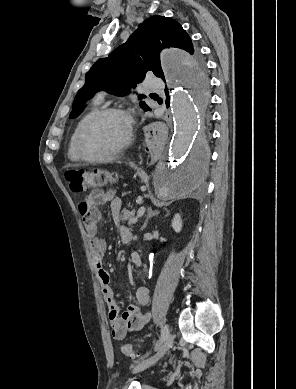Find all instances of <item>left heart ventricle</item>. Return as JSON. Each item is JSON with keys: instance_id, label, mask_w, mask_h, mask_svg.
<instances>
[{"instance_id": "left-heart-ventricle-1", "label": "left heart ventricle", "mask_w": 296, "mask_h": 389, "mask_svg": "<svg viewBox=\"0 0 296 389\" xmlns=\"http://www.w3.org/2000/svg\"><path fill=\"white\" fill-rule=\"evenodd\" d=\"M127 134V121L120 115H106L88 129L84 138L85 152L92 157L104 155L120 145Z\"/></svg>"}]
</instances>
